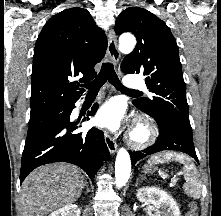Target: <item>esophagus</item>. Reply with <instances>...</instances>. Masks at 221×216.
I'll list each match as a JSON object with an SVG mask.
<instances>
[{
  "instance_id": "obj_1",
  "label": "esophagus",
  "mask_w": 221,
  "mask_h": 216,
  "mask_svg": "<svg viewBox=\"0 0 221 216\" xmlns=\"http://www.w3.org/2000/svg\"><path fill=\"white\" fill-rule=\"evenodd\" d=\"M107 53L114 64L117 65L121 55L118 49L116 35L112 29H110L108 33ZM104 140L110 153L114 154L117 151V143L108 131H104Z\"/></svg>"
}]
</instances>
